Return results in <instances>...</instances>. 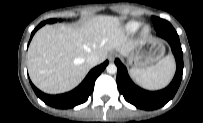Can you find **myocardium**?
I'll return each instance as SVG.
<instances>
[{"label":"myocardium","instance_id":"obj_1","mask_svg":"<svg viewBox=\"0 0 203 123\" xmlns=\"http://www.w3.org/2000/svg\"><path fill=\"white\" fill-rule=\"evenodd\" d=\"M140 32L142 35H147L150 33V27L148 25H142L140 28Z\"/></svg>","mask_w":203,"mask_h":123}]
</instances>
